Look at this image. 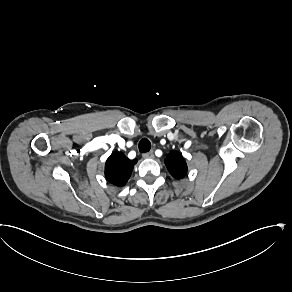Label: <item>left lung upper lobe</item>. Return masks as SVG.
<instances>
[{"instance_id":"obj_1","label":"left lung upper lobe","mask_w":292,"mask_h":292,"mask_svg":"<svg viewBox=\"0 0 292 292\" xmlns=\"http://www.w3.org/2000/svg\"><path fill=\"white\" fill-rule=\"evenodd\" d=\"M165 165L169 173L176 179H182L187 174V164L182 155L177 151H171L166 159Z\"/></svg>"}]
</instances>
